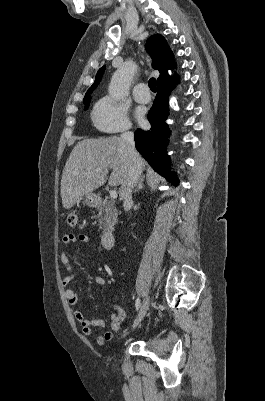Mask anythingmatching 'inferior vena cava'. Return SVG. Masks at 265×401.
I'll return each instance as SVG.
<instances>
[{"label": "inferior vena cava", "mask_w": 265, "mask_h": 401, "mask_svg": "<svg viewBox=\"0 0 265 401\" xmlns=\"http://www.w3.org/2000/svg\"><path fill=\"white\" fill-rule=\"evenodd\" d=\"M129 128H131L130 124H125L121 134V138L124 140L126 148L129 152V156L132 160L129 180H127L126 184H123L124 209H128V207H131L132 205V188H134L136 182H138V178H140L141 174V168L139 166V154L135 148L134 134L131 132V130H129Z\"/></svg>", "instance_id": "inferior-vena-cava-1"}]
</instances>
